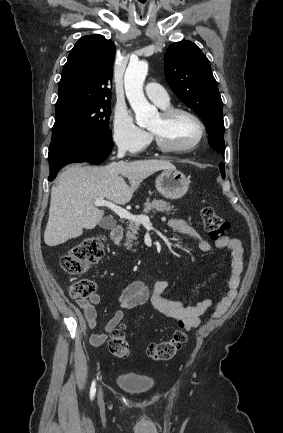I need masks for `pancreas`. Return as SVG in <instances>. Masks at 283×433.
<instances>
[{
    "label": "pancreas",
    "instance_id": "cf45deb5",
    "mask_svg": "<svg viewBox=\"0 0 283 433\" xmlns=\"http://www.w3.org/2000/svg\"><path fill=\"white\" fill-rule=\"evenodd\" d=\"M153 212H169V210H173L174 206H171L170 202H167V200H157V198H153V200H147L144 204L143 212H150L152 210ZM172 214H175V212H172ZM139 223H129V231L126 233V243L125 247H132L130 243L132 241H137L136 235H138L137 231H139ZM135 251V249H133Z\"/></svg>",
    "mask_w": 283,
    "mask_h": 433
}]
</instances>
